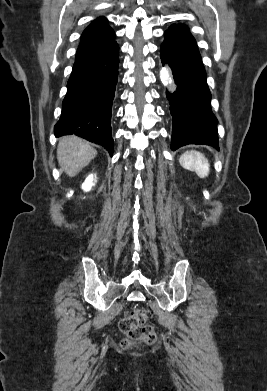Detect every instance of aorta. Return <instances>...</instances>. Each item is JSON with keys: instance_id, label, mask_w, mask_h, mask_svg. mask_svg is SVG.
I'll use <instances>...</instances> for the list:
<instances>
[{"instance_id": "762f6f07", "label": "aorta", "mask_w": 267, "mask_h": 391, "mask_svg": "<svg viewBox=\"0 0 267 391\" xmlns=\"http://www.w3.org/2000/svg\"><path fill=\"white\" fill-rule=\"evenodd\" d=\"M160 79L164 86H167L169 89L172 88V78L170 76L169 70L166 67H163L160 71Z\"/></svg>"}]
</instances>
